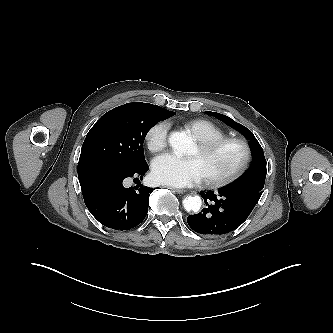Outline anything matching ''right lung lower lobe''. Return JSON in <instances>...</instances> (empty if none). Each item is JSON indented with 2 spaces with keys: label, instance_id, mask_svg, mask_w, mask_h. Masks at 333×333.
I'll use <instances>...</instances> for the list:
<instances>
[{
  "label": "right lung lower lobe",
  "instance_id": "obj_1",
  "mask_svg": "<svg viewBox=\"0 0 333 333\" xmlns=\"http://www.w3.org/2000/svg\"><path fill=\"white\" fill-rule=\"evenodd\" d=\"M148 164L135 169L111 162L78 165V178L85 204L90 213L104 226L129 230L139 225L148 212L150 187L123 186L124 179L140 177ZM137 179V178H135Z\"/></svg>",
  "mask_w": 333,
  "mask_h": 333
}]
</instances>
